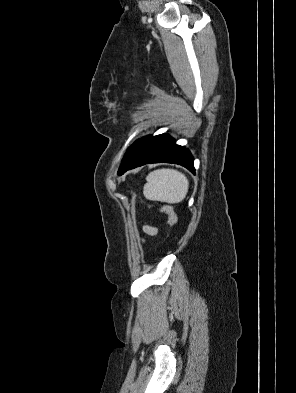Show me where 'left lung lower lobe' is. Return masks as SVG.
<instances>
[{"mask_svg": "<svg viewBox=\"0 0 296 393\" xmlns=\"http://www.w3.org/2000/svg\"><path fill=\"white\" fill-rule=\"evenodd\" d=\"M168 162L180 164L192 173L195 172L193 157L188 149L176 145L175 140L166 134L146 136L139 139L130 153L123 169L118 173L122 175L127 170L148 164Z\"/></svg>", "mask_w": 296, "mask_h": 393, "instance_id": "0a47b994", "label": "left lung lower lobe"}]
</instances>
